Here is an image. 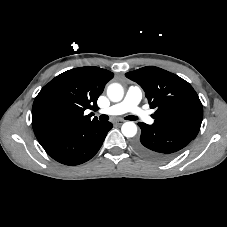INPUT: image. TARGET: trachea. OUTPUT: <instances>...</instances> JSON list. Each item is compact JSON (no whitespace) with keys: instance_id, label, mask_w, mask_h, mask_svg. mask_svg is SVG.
I'll list each match as a JSON object with an SVG mask.
<instances>
[{"instance_id":"trachea-1","label":"trachea","mask_w":227,"mask_h":227,"mask_svg":"<svg viewBox=\"0 0 227 227\" xmlns=\"http://www.w3.org/2000/svg\"><path fill=\"white\" fill-rule=\"evenodd\" d=\"M125 119L126 120H131V121H136L137 120V117H135L133 115H130V116H127ZM100 120L101 121H108L109 120V117L107 115H101L100 116Z\"/></svg>"}]
</instances>
